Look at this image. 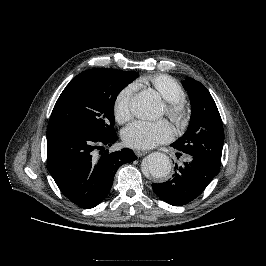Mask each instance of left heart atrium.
I'll return each mask as SVG.
<instances>
[{
	"mask_svg": "<svg viewBox=\"0 0 266 266\" xmlns=\"http://www.w3.org/2000/svg\"><path fill=\"white\" fill-rule=\"evenodd\" d=\"M122 137L124 143L131 148L149 149L171 140L173 131L165 120H137L123 130Z\"/></svg>",
	"mask_w": 266,
	"mask_h": 266,
	"instance_id": "left-heart-atrium-1",
	"label": "left heart atrium"
}]
</instances>
